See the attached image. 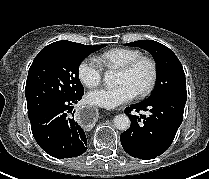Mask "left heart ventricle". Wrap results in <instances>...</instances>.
Returning a JSON list of instances; mask_svg holds the SVG:
<instances>
[{"instance_id": "left-heart-ventricle-1", "label": "left heart ventricle", "mask_w": 209, "mask_h": 179, "mask_svg": "<svg viewBox=\"0 0 209 179\" xmlns=\"http://www.w3.org/2000/svg\"><path fill=\"white\" fill-rule=\"evenodd\" d=\"M150 77V66L147 63H142L130 74L118 72L116 84H127L135 91V93H138L146 87Z\"/></svg>"}]
</instances>
